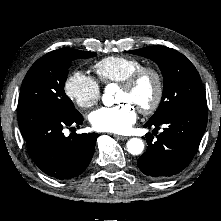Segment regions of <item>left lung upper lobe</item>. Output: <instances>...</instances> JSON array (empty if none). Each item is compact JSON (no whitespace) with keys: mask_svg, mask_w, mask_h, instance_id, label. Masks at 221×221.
<instances>
[{"mask_svg":"<svg viewBox=\"0 0 221 221\" xmlns=\"http://www.w3.org/2000/svg\"><path fill=\"white\" fill-rule=\"evenodd\" d=\"M129 53L155 61L164 77L161 103L148 122H158L187 106L206 104V95L198 71L178 51L164 46H151L130 50Z\"/></svg>","mask_w":221,"mask_h":221,"instance_id":"obj_1","label":"left lung upper lobe"}]
</instances>
